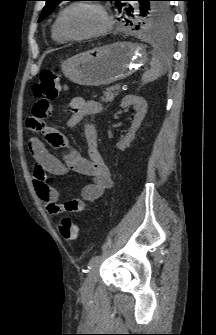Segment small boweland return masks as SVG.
Instances as JSON below:
<instances>
[{"label": "small bowel", "instance_id": "small-bowel-1", "mask_svg": "<svg viewBox=\"0 0 216 335\" xmlns=\"http://www.w3.org/2000/svg\"><path fill=\"white\" fill-rule=\"evenodd\" d=\"M36 103L31 108L32 116L27 119V126L33 130V134L45 135L51 147L67 150L63 164L48 151L39 138H29L28 148L34 161L33 185L36 194L50 215H58L66 211L80 212L112 187L109 169L98 148L97 131L92 124H85L84 135L88 157H83L69 146L68 141L57 129L49 126L48 120H51V115H60V108L49 104L48 98H37ZM70 108L72 114L67 120L70 128L78 127L86 118L102 111V106L98 101L86 100L82 97L73 98ZM68 171L88 176L91 182L82 188L79 199L60 204L58 203V191L48 184L47 179L49 175H63Z\"/></svg>", "mask_w": 216, "mask_h": 335}]
</instances>
